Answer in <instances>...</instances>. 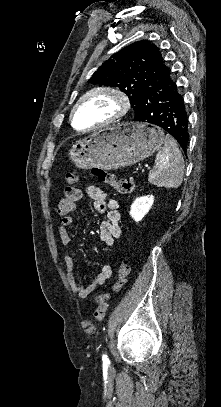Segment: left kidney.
Returning <instances> with one entry per match:
<instances>
[{
	"label": "left kidney",
	"instance_id": "left-kidney-1",
	"mask_svg": "<svg viewBox=\"0 0 221 407\" xmlns=\"http://www.w3.org/2000/svg\"><path fill=\"white\" fill-rule=\"evenodd\" d=\"M154 202L152 195L136 198L131 205L130 215L136 221L139 222L149 212Z\"/></svg>",
	"mask_w": 221,
	"mask_h": 407
}]
</instances>
